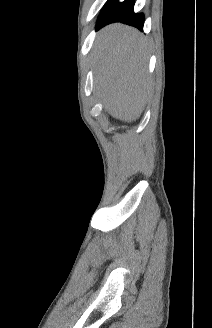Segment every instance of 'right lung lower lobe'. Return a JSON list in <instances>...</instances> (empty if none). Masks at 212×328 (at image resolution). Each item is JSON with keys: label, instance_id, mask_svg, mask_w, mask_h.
I'll return each mask as SVG.
<instances>
[{"label": "right lung lower lobe", "instance_id": "obj_1", "mask_svg": "<svg viewBox=\"0 0 212 328\" xmlns=\"http://www.w3.org/2000/svg\"><path fill=\"white\" fill-rule=\"evenodd\" d=\"M121 22L143 30L144 14L134 13V0H109L100 13L97 29L107 24Z\"/></svg>", "mask_w": 212, "mask_h": 328}]
</instances>
